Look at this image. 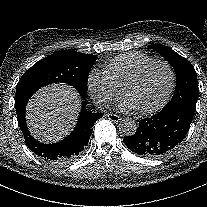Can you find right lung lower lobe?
Wrapping results in <instances>:
<instances>
[{"label":"right lung lower lobe","mask_w":207,"mask_h":207,"mask_svg":"<svg viewBox=\"0 0 207 207\" xmlns=\"http://www.w3.org/2000/svg\"><path fill=\"white\" fill-rule=\"evenodd\" d=\"M28 101L15 105L18 125L23 133L28 148L42 160L55 164H65L77 158L87 145L92 133V127L103 113H89L82 103V109L74 130L65 139L54 144H43L35 140L30 134L26 119L25 108Z\"/></svg>","instance_id":"right-lung-lower-lobe-1"}]
</instances>
